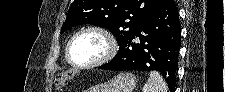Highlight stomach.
<instances>
[{
	"mask_svg": "<svg viewBox=\"0 0 225 92\" xmlns=\"http://www.w3.org/2000/svg\"><path fill=\"white\" fill-rule=\"evenodd\" d=\"M136 86V78L132 73H120L115 78L97 87L90 88L88 92H132Z\"/></svg>",
	"mask_w": 225,
	"mask_h": 92,
	"instance_id": "0dacf381",
	"label": "stomach"
}]
</instances>
